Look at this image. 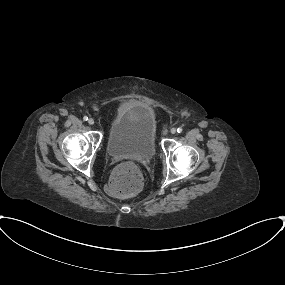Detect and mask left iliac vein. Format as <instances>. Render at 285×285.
I'll return each mask as SVG.
<instances>
[{
    "instance_id": "4c4485c4",
    "label": "left iliac vein",
    "mask_w": 285,
    "mask_h": 285,
    "mask_svg": "<svg viewBox=\"0 0 285 285\" xmlns=\"http://www.w3.org/2000/svg\"><path fill=\"white\" fill-rule=\"evenodd\" d=\"M170 133L175 134L176 133V129L175 128H171L170 129Z\"/></svg>"
}]
</instances>
